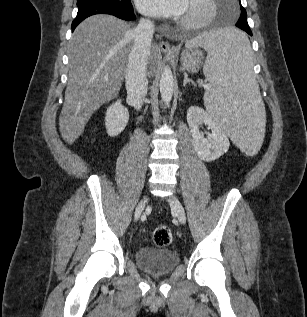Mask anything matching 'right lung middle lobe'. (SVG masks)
Returning <instances> with one entry per match:
<instances>
[{"label": "right lung middle lobe", "instance_id": "obj_1", "mask_svg": "<svg viewBox=\"0 0 307 317\" xmlns=\"http://www.w3.org/2000/svg\"><path fill=\"white\" fill-rule=\"evenodd\" d=\"M93 1L104 2L115 6H123L130 3V0H77V6Z\"/></svg>", "mask_w": 307, "mask_h": 317}]
</instances>
